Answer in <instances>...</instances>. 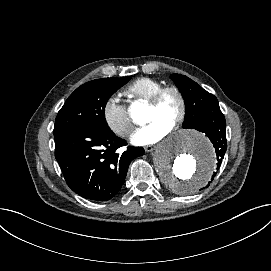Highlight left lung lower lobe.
Segmentation results:
<instances>
[{
  "mask_svg": "<svg viewBox=\"0 0 271 271\" xmlns=\"http://www.w3.org/2000/svg\"><path fill=\"white\" fill-rule=\"evenodd\" d=\"M196 130L203 132L212 142L216 152V170L218 171L227 150L226 121L220 109H215L198 123ZM214 172L211 181L216 176ZM209 181V183H211ZM209 186V184L207 185Z\"/></svg>",
  "mask_w": 271,
  "mask_h": 271,
  "instance_id": "obj_1",
  "label": "left lung lower lobe"
}]
</instances>
